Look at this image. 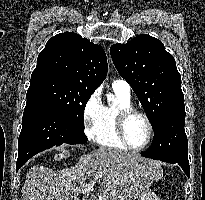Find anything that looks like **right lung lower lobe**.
Listing matches in <instances>:
<instances>
[{
  "label": "right lung lower lobe",
  "instance_id": "right-lung-lower-lobe-1",
  "mask_svg": "<svg viewBox=\"0 0 205 200\" xmlns=\"http://www.w3.org/2000/svg\"><path fill=\"white\" fill-rule=\"evenodd\" d=\"M81 143H87L83 129L51 106L38 100H28L18 140L16 170L43 150L62 144Z\"/></svg>",
  "mask_w": 205,
  "mask_h": 200
}]
</instances>
